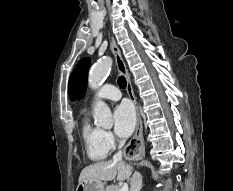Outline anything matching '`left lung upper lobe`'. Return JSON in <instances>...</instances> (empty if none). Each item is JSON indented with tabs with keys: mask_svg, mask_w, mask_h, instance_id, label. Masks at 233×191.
<instances>
[{
	"mask_svg": "<svg viewBox=\"0 0 233 191\" xmlns=\"http://www.w3.org/2000/svg\"><path fill=\"white\" fill-rule=\"evenodd\" d=\"M90 64L89 58L81 59L71 74L69 79V97L71 101L80 100L84 97Z\"/></svg>",
	"mask_w": 233,
	"mask_h": 191,
	"instance_id": "1",
	"label": "left lung upper lobe"
}]
</instances>
